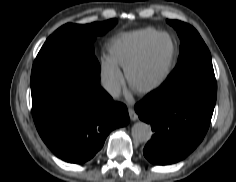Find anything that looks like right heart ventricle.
Instances as JSON below:
<instances>
[{
    "label": "right heart ventricle",
    "instance_id": "obj_1",
    "mask_svg": "<svg viewBox=\"0 0 236 182\" xmlns=\"http://www.w3.org/2000/svg\"><path fill=\"white\" fill-rule=\"evenodd\" d=\"M157 34L158 31L154 28H142L119 34L109 46L108 60L118 68L125 69Z\"/></svg>",
    "mask_w": 236,
    "mask_h": 182
}]
</instances>
